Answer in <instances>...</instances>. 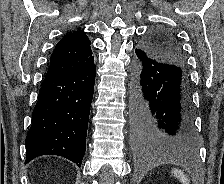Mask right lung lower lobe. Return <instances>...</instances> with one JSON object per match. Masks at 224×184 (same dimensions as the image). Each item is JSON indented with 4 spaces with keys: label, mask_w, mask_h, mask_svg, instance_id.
Here are the masks:
<instances>
[{
    "label": "right lung lower lobe",
    "mask_w": 224,
    "mask_h": 184,
    "mask_svg": "<svg viewBox=\"0 0 224 184\" xmlns=\"http://www.w3.org/2000/svg\"><path fill=\"white\" fill-rule=\"evenodd\" d=\"M96 67L46 76L26 136V161L58 155L79 167L86 151V136Z\"/></svg>",
    "instance_id": "obj_1"
}]
</instances>
